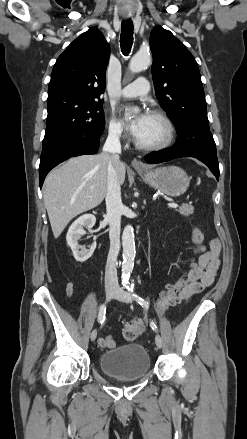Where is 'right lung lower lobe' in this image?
I'll list each match as a JSON object with an SVG mask.
<instances>
[{
	"mask_svg": "<svg viewBox=\"0 0 247 439\" xmlns=\"http://www.w3.org/2000/svg\"><path fill=\"white\" fill-rule=\"evenodd\" d=\"M100 136L78 137L43 147L39 166L40 188L50 170L61 162L70 157L97 153Z\"/></svg>",
	"mask_w": 247,
	"mask_h": 439,
	"instance_id": "1",
	"label": "right lung lower lobe"
}]
</instances>
